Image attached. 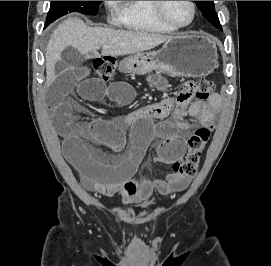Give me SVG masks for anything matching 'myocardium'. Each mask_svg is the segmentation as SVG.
Returning <instances> with one entry per match:
<instances>
[{
  "label": "myocardium",
  "mask_w": 271,
  "mask_h": 266,
  "mask_svg": "<svg viewBox=\"0 0 271 266\" xmlns=\"http://www.w3.org/2000/svg\"><path fill=\"white\" fill-rule=\"evenodd\" d=\"M189 3L192 8V16H191L190 21L184 25H178L168 18V16L166 15L164 11V1H152V8L157 18H159L163 23H165L166 25H168L174 30H180V29L188 28L195 21L196 14H197V7L194 1H189Z\"/></svg>",
  "instance_id": "f54148a6"
}]
</instances>
